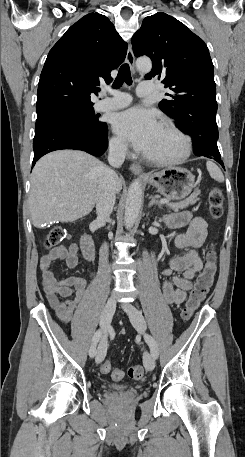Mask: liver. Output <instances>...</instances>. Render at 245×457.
Segmentation results:
<instances>
[{"mask_svg":"<svg viewBox=\"0 0 245 457\" xmlns=\"http://www.w3.org/2000/svg\"><path fill=\"white\" fill-rule=\"evenodd\" d=\"M105 164L83 150H54L37 160L31 172L32 222H71L86 216L97 202L98 178ZM122 182L118 178L116 192Z\"/></svg>","mask_w":245,"mask_h":457,"instance_id":"obj_1","label":"liver"}]
</instances>
